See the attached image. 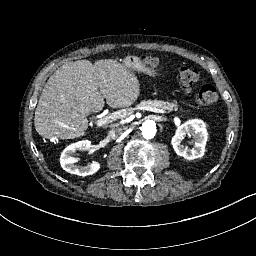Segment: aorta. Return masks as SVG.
Instances as JSON below:
<instances>
[{
    "mask_svg": "<svg viewBox=\"0 0 256 256\" xmlns=\"http://www.w3.org/2000/svg\"><path fill=\"white\" fill-rule=\"evenodd\" d=\"M141 128L142 135L145 138H153L157 133V126L152 121L146 122Z\"/></svg>",
    "mask_w": 256,
    "mask_h": 256,
    "instance_id": "1",
    "label": "aorta"
}]
</instances>
